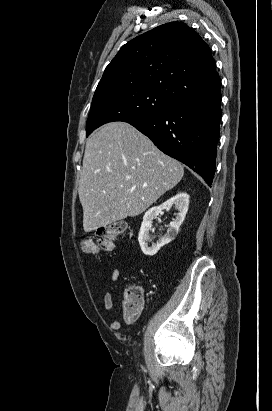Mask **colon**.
<instances>
[{"label": "colon", "mask_w": 272, "mask_h": 411, "mask_svg": "<svg viewBox=\"0 0 272 411\" xmlns=\"http://www.w3.org/2000/svg\"><path fill=\"white\" fill-rule=\"evenodd\" d=\"M126 229L124 221H116L98 229L97 237H87L82 240V250L89 255H96L101 250L111 251L115 239ZM143 306V292L137 286L128 287L124 292L123 316L125 321L134 322L138 319Z\"/></svg>", "instance_id": "1"}]
</instances>
